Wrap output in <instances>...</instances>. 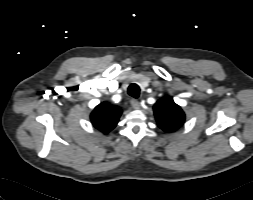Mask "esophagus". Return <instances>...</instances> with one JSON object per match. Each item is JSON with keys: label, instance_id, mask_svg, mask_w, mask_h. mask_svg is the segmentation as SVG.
<instances>
[{"label": "esophagus", "instance_id": "esophagus-1", "mask_svg": "<svg viewBox=\"0 0 253 200\" xmlns=\"http://www.w3.org/2000/svg\"><path fill=\"white\" fill-rule=\"evenodd\" d=\"M130 103H131V105H132V107H133L134 109H139V108H140V103H139L138 100H136V99H131Z\"/></svg>", "mask_w": 253, "mask_h": 200}]
</instances>
